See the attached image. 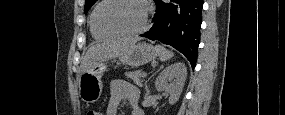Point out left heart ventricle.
I'll list each match as a JSON object with an SVG mask.
<instances>
[{
	"label": "left heart ventricle",
	"instance_id": "obj_1",
	"mask_svg": "<svg viewBox=\"0 0 285 115\" xmlns=\"http://www.w3.org/2000/svg\"><path fill=\"white\" fill-rule=\"evenodd\" d=\"M99 21L104 26L119 31H136L143 25L144 7L131 0L109 2L101 8Z\"/></svg>",
	"mask_w": 285,
	"mask_h": 115
}]
</instances>
